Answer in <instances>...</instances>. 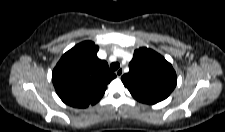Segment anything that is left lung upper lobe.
Segmentation results:
<instances>
[{"label": "left lung upper lobe", "mask_w": 225, "mask_h": 132, "mask_svg": "<svg viewBox=\"0 0 225 132\" xmlns=\"http://www.w3.org/2000/svg\"><path fill=\"white\" fill-rule=\"evenodd\" d=\"M129 69L121 80L132 96L143 103L155 104L166 99L177 83L172 65L148 48L134 52Z\"/></svg>", "instance_id": "5c2ea615"}]
</instances>
